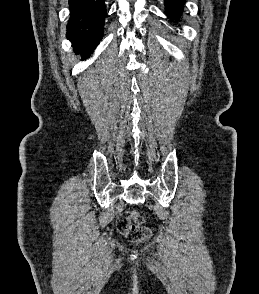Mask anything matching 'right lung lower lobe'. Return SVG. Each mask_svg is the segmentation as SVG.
Returning <instances> with one entry per match:
<instances>
[{
	"label": "right lung lower lobe",
	"instance_id": "right-lung-lower-lobe-1",
	"mask_svg": "<svg viewBox=\"0 0 259 294\" xmlns=\"http://www.w3.org/2000/svg\"><path fill=\"white\" fill-rule=\"evenodd\" d=\"M69 8L66 37L75 51L88 57L103 35L105 0H69Z\"/></svg>",
	"mask_w": 259,
	"mask_h": 294
}]
</instances>
